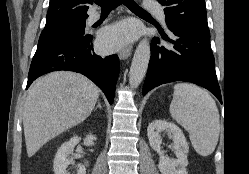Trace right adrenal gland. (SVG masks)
I'll return each instance as SVG.
<instances>
[{"label": "right adrenal gland", "mask_w": 249, "mask_h": 174, "mask_svg": "<svg viewBox=\"0 0 249 174\" xmlns=\"http://www.w3.org/2000/svg\"><path fill=\"white\" fill-rule=\"evenodd\" d=\"M97 108H102V106H101V104H100V102L98 101V105L96 106V108H95V110L97 109Z\"/></svg>", "instance_id": "obj_1"}]
</instances>
